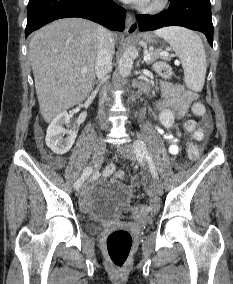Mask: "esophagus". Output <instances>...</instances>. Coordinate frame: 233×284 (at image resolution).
<instances>
[{
    "instance_id": "1",
    "label": "esophagus",
    "mask_w": 233,
    "mask_h": 284,
    "mask_svg": "<svg viewBox=\"0 0 233 284\" xmlns=\"http://www.w3.org/2000/svg\"><path fill=\"white\" fill-rule=\"evenodd\" d=\"M138 30V23L135 16L132 13L126 14V31L128 34H134Z\"/></svg>"
}]
</instances>
